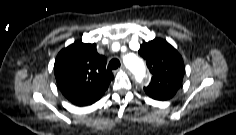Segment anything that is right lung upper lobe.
<instances>
[{
    "mask_svg": "<svg viewBox=\"0 0 236 135\" xmlns=\"http://www.w3.org/2000/svg\"><path fill=\"white\" fill-rule=\"evenodd\" d=\"M96 44L74 42L62 49L55 60L54 74L62 94L77 106L98 101L114 76Z\"/></svg>",
    "mask_w": 236,
    "mask_h": 135,
    "instance_id": "1",
    "label": "right lung upper lobe"
}]
</instances>
